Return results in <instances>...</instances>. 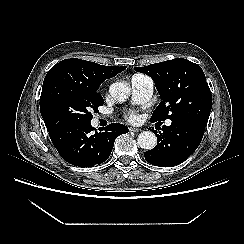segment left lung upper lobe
Listing matches in <instances>:
<instances>
[{"mask_svg":"<svg viewBox=\"0 0 244 244\" xmlns=\"http://www.w3.org/2000/svg\"><path fill=\"white\" fill-rule=\"evenodd\" d=\"M135 71L149 75L161 97L151 122L188 119L207 125L212 108V94L199 65L176 58L135 67Z\"/></svg>","mask_w":244,"mask_h":244,"instance_id":"5c2ea615","label":"left lung upper lobe"}]
</instances>
